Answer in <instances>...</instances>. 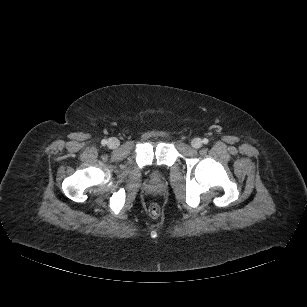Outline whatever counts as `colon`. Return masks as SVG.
Here are the masks:
<instances>
[{
  "instance_id": "colon-1",
  "label": "colon",
  "mask_w": 307,
  "mask_h": 307,
  "mask_svg": "<svg viewBox=\"0 0 307 307\" xmlns=\"http://www.w3.org/2000/svg\"><path fill=\"white\" fill-rule=\"evenodd\" d=\"M149 212L152 216H157L160 213V206L157 203H153L149 207Z\"/></svg>"
}]
</instances>
